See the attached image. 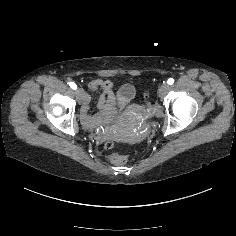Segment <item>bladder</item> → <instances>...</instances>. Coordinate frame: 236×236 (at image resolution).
Instances as JSON below:
<instances>
[{
	"label": "bladder",
	"mask_w": 236,
	"mask_h": 236,
	"mask_svg": "<svg viewBox=\"0 0 236 236\" xmlns=\"http://www.w3.org/2000/svg\"><path fill=\"white\" fill-rule=\"evenodd\" d=\"M117 96L119 99L130 103L136 97V87L135 84L124 83L122 84L118 91Z\"/></svg>",
	"instance_id": "obj_1"
}]
</instances>
